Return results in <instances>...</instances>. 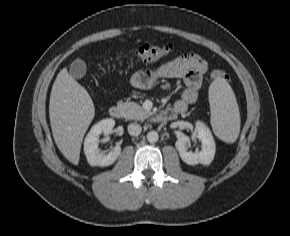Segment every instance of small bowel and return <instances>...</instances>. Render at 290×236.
Masks as SVG:
<instances>
[{
	"mask_svg": "<svg viewBox=\"0 0 290 236\" xmlns=\"http://www.w3.org/2000/svg\"><path fill=\"white\" fill-rule=\"evenodd\" d=\"M207 69V63L201 55L195 52H187L160 64L155 70L136 72L131 81L135 88L148 89L162 79H182L185 89L173 108L186 110L189 105L197 100L203 76Z\"/></svg>",
	"mask_w": 290,
	"mask_h": 236,
	"instance_id": "c3829d8e",
	"label": "small bowel"
}]
</instances>
